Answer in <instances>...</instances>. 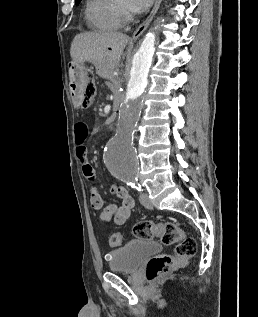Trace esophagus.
I'll return each mask as SVG.
<instances>
[{"mask_svg":"<svg viewBox=\"0 0 258 317\" xmlns=\"http://www.w3.org/2000/svg\"><path fill=\"white\" fill-rule=\"evenodd\" d=\"M161 0H155V4L154 7L150 13V15L146 18V20H144L143 23H141V25H139V27L136 28L135 32L132 35V39L136 40L137 38H139L143 32L146 30V28L149 26V24L151 23L154 15L156 14L159 5H160Z\"/></svg>","mask_w":258,"mask_h":317,"instance_id":"obj_1","label":"esophagus"}]
</instances>
